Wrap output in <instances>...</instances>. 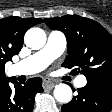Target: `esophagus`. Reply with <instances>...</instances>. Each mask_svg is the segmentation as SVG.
I'll list each match as a JSON object with an SVG mask.
<instances>
[{"label":"esophagus","mask_w":112,"mask_h":112,"mask_svg":"<svg viewBox=\"0 0 112 112\" xmlns=\"http://www.w3.org/2000/svg\"><path fill=\"white\" fill-rule=\"evenodd\" d=\"M57 82L56 81H54V80H44L43 81V88L44 89H47V90H51V89H53L54 88V86H55V84H56Z\"/></svg>","instance_id":"1"}]
</instances>
